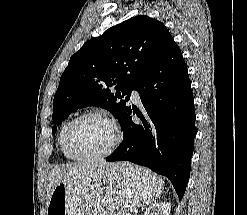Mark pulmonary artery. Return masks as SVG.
I'll return each mask as SVG.
<instances>
[{
  "instance_id": "e3ab8cb5",
  "label": "pulmonary artery",
  "mask_w": 247,
  "mask_h": 215,
  "mask_svg": "<svg viewBox=\"0 0 247 215\" xmlns=\"http://www.w3.org/2000/svg\"><path fill=\"white\" fill-rule=\"evenodd\" d=\"M131 97L133 99V101L139 103L140 102V96H139V92L136 89H133L131 92Z\"/></svg>"
}]
</instances>
